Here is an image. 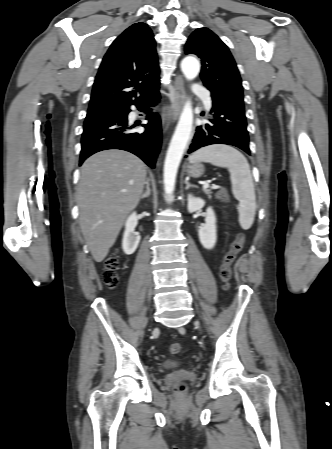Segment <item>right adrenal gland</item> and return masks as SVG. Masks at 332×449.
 <instances>
[{
    "label": "right adrenal gland",
    "instance_id": "1",
    "mask_svg": "<svg viewBox=\"0 0 332 449\" xmlns=\"http://www.w3.org/2000/svg\"><path fill=\"white\" fill-rule=\"evenodd\" d=\"M145 184H146V191L142 194L141 199H144V198L150 196V193H151L149 178L146 179Z\"/></svg>",
    "mask_w": 332,
    "mask_h": 449
}]
</instances>
